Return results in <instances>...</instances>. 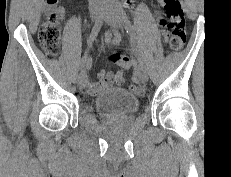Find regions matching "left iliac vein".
Instances as JSON below:
<instances>
[{
  "instance_id": "1",
  "label": "left iliac vein",
  "mask_w": 231,
  "mask_h": 177,
  "mask_svg": "<svg viewBox=\"0 0 231 177\" xmlns=\"http://www.w3.org/2000/svg\"><path fill=\"white\" fill-rule=\"evenodd\" d=\"M103 18L106 23H108L111 27L115 29H119L122 27V20L120 14L113 8L112 4H108V6L105 7L103 10ZM138 78L141 80V82L145 83L148 81V75L146 70L141 67L139 71Z\"/></svg>"
}]
</instances>
